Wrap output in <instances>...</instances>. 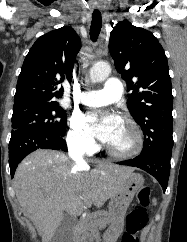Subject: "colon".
I'll return each mask as SVG.
<instances>
[{
	"label": "colon",
	"mask_w": 187,
	"mask_h": 242,
	"mask_svg": "<svg viewBox=\"0 0 187 242\" xmlns=\"http://www.w3.org/2000/svg\"><path fill=\"white\" fill-rule=\"evenodd\" d=\"M150 188L142 187L137 194V203L126 219V232L121 242H138L136 235L146 225L148 220L147 206L150 202Z\"/></svg>",
	"instance_id": "obj_1"
}]
</instances>
